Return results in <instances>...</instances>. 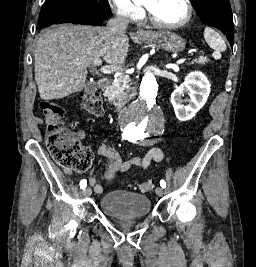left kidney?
Segmentation results:
<instances>
[{"instance_id":"left-kidney-1","label":"left kidney","mask_w":256,"mask_h":267,"mask_svg":"<svg viewBox=\"0 0 256 267\" xmlns=\"http://www.w3.org/2000/svg\"><path fill=\"white\" fill-rule=\"evenodd\" d=\"M211 84L202 72H190L185 76L183 84L176 88L171 94V102L176 114V118L180 122L192 120L196 112L203 108L210 94ZM188 94L189 100H182V96ZM184 102H188L184 106Z\"/></svg>"}]
</instances>
